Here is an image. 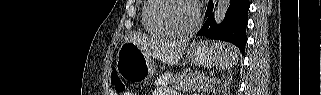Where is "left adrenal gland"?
I'll return each instance as SVG.
<instances>
[{
    "label": "left adrenal gland",
    "instance_id": "left-adrenal-gland-1",
    "mask_svg": "<svg viewBox=\"0 0 321 95\" xmlns=\"http://www.w3.org/2000/svg\"><path fill=\"white\" fill-rule=\"evenodd\" d=\"M229 83H230V82H227V81H226V82H225V87H227V86L229 85Z\"/></svg>",
    "mask_w": 321,
    "mask_h": 95
}]
</instances>
